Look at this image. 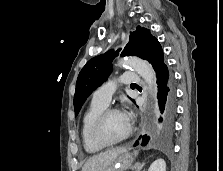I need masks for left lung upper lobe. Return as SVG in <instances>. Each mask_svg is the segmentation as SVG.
<instances>
[{
  "mask_svg": "<svg viewBox=\"0 0 223 171\" xmlns=\"http://www.w3.org/2000/svg\"><path fill=\"white\" fill-rule=\"evenodd\" d=\"M158 40L152 36L150 30L137 26L130 33L129 42L122 49L121 56H138L147 59L148 54ZM118 51L109 50L106 53L89 60L79 73L74 95L75 116L78 115L87 97L99 87L109 76L112 70V60L118 56ZM134 101V100H132Z\"/></svg>",
  "mask_w": 223,
  "mask_h": 171,
  "instance_id": "left-lung-upper-lobe-1",
  "label": "left lung upper lobe"
}]
</instances>
